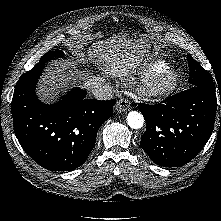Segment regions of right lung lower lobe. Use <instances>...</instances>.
<instances>
[{"label":"right lung lower lobe","mask_w":221,"mask_h":221,"mask_svg":"<svg viewBox=\"0 0 221 221\" xmlns=\"http://www.w3.org/2000/svg\"><path fill=\"white\" fill-rule=\"evenodd\" d=\"M43 68L34 66L16 84L11 103L14 131L24 151L40 166L72 170L86 161L116 100L87 99L85 90L75 88L58 103L44 104L35 93Z\"/></svg>","instance_id":"right-lung-lower-lobe-1"}]
</instances>
